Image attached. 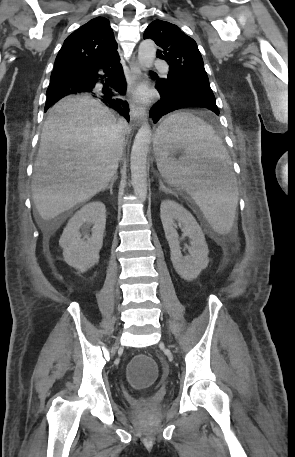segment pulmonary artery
I'll return each mask as SVG.
<instances>
[{
    "label": "pulmonary artery",
    "instance_id": "e3ab8cb5",
    "mask_svg": "<svg viewBox=\"0 0 295 457\" xmlns=\"http://www.w3.org/2000/svg\"><path fill=\"white\" fill-rule=\"evenodd\" d=\"M154 67L156 69L160 70L163 74H167V72H168L167 64L161 60H155Z\"/></svg>",
    "mask_w": 295,
    "mask_h": 457
}]
</instances>
